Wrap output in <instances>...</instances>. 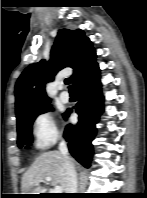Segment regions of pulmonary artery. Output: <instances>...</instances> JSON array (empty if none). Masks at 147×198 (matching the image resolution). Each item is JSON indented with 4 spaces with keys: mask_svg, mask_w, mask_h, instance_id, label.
Here are the masks:
<instances>
[{
    "mask_svg": "<svg viewBox=\"0 0 147 198\" xmlns=\"http://www.w3.org/2000/svg\"><path fill=\"white\" fill-rule=\"evenodd\" d=\"M59 99L62 103H68L70 101V96H69L68 92L62 91L60 93Z\"/></svg>",
    "mask_w": 147,
    "mask_h": 198,
    "instance_id": "obj_1",
    "label": "pulmonary artery"
}]
</instances>
